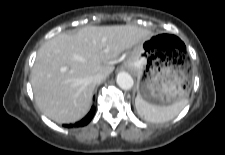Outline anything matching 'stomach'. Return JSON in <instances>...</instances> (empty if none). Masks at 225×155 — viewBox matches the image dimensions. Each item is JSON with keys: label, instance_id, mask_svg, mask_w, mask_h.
Returning a JSON list of instances; mask_svg holds the SVG:
<instances>
[{"label": "stomach", "instance_id": "1", "mask_svg": "<svg viewBox=\"0 0 225 155\" xmlns=\"http://www.w3.org/2000/svg\"><path fill=\"white\" fill-rule=\"evenodd\" d=\"M161 35L154 34L135 46L124 66L137 75V96L149 104L165 106L186 98L191 79L187 66L162 57Z\"/></svg>", "mask_w": 225, "mask_h": 155}]
</instances>
